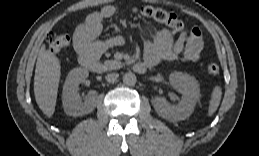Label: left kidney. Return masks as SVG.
<instances>
[{
  "label": "left kidney",
  "mask_w": 259,
  "mask_h": 156,
  "mask_svg": "<svg viewBox=\"0 0 259 156\" xmlns=\"http://www.w3.org/2000/svg\"><path fill=\"white\" fill-rule=\"evenodd\" d=\"M170 83L178 88L181 101L177 105H170L165 98L155 97L153 106L159 116L170 121H181L188 118L200 99V88L197 80L182 72H173L169 75Z\"/></svg>",
  "instance_id": "obj_1"
}]
</instances>
